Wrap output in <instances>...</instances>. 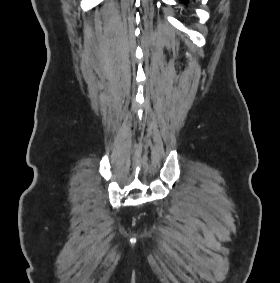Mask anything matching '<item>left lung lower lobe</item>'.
I'll return each mask as SVG.
<instances>
[{"label": "left lung lower lobe", "instance_id": "obj_1", "mask_svg": "<svg viewBox=\"0 0 280 283\" xmlns=\"http://www.w3.org/2000/svg\"><path fill=\"white\" fill-rule=\"evenodd\" d=\"M183 3H188L189 0H181Z\"/></svg>", "mask_w": 280, "mask_h": 283}]
</instances>
